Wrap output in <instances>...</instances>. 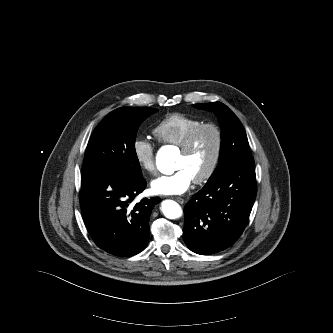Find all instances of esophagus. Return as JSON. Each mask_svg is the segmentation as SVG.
<instances>
[{"instance_id":"obj_1","label":"esophagus","mask_w":333,"mask_h":333,"mask_svg":"<svg viewBox=\"0 0 333 333\" xmlns=\"http://www.w3.org/2000/svg\"><path fill=\"white\" fill-rule=\"evenodd\" d=\"M175 200L180 204L184 203V199H182L181 197H175Z\"/></svg>"}]
</instances>
